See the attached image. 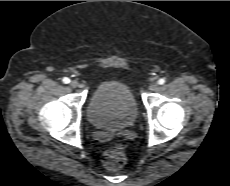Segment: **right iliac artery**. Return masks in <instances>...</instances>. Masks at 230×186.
<instances>
[{"label":"right iliac artery","instance_id":"82829eb1","mask_svg":"<svg viewBox=\"0 0 230 186\" xmlns=\"http://www.w3.org/2000/svg\"><path fill=\"white\" fill-rule=\"evenodd\" d=\"M62 81H63V83L67 84V83L70 82V79L67 78V77H64V78L62 79Z\"/></svg>","mask_w":230,"mask_h":186}]
</instances>
